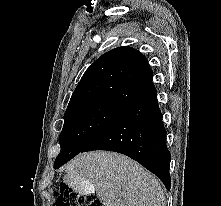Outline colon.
I'll list each match as a JSON object with an SVG mask.
<instances>
[{
    "instance_id": "colon-1",
    "label": "colon",
    "mask_w": 221,
    "mask_h": 206,
    "mask_svg": "<svg viewBox=\"0 0 221 206\" xmlns=\"http://www.w3.org/2000/svg\"><path fill=\"white\" fill-rule=\"evenodd\" d=\"M55 195L56 206H102L93 196L73 194V190H70L66 184H62Z\"/></svg>"
}]
</instances>
